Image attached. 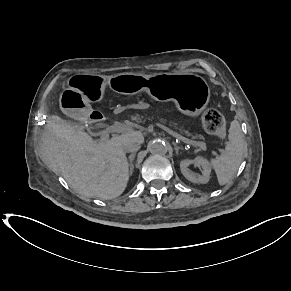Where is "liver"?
<instances>
[{
  "mask_svg": "<svg viewBox=\"0 0 291 291\" xmlns=\"http://www.w3.org/2000/svg\"><path fill=\"white\" fill-rule=\"evenodd\" d=\"M144 142L139 131L95 141L83 127L58 116L47 120L40 142L42 156L79 194L110 200L120 196L129 181L123 145Z\"/></svg>",
  "mask_w": 291,
  "mask_h": 291,
  "instance_id": "liver-1",
  "label": "liver"
}]
</instances>
